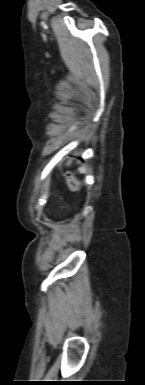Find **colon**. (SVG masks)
Returning <instances> with one entry per match:
<instances>
[{
  "mask_svg": "<svg viewBox=\"0 0 145 385\" xmlns=\"http://www.w3.org/2000/svg\"><path fill=\"white\" fill-rule=\"evenodd\" d=\"M66 182L70 190L78 191L81 188V183L72 175L70 171L66 173Z\"/></svg>",
  "mask_w": 145,
  "mask_h": 385,
  "instance_id": "obj_1",
  "label": "colon"
}]
</instances>
